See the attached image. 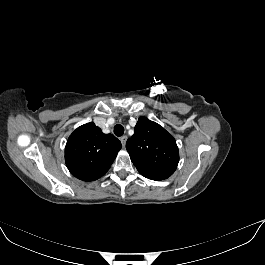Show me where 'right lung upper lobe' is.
I'll return each instance as SVG.
<instances>
[{
	"label": "right lung upper lobe",
	"mask_w": 265,
	"mask_h": 265,
	"mask_svg": "<svg viewBox=\"0 0 265 265\" xmlns=\"http://www.w3.org/2000/svg\"><path fill=\"white\" fill-rule=\"evenodd\" d=\"M112 134H104L93 122L78 127L68 138L65 162L70 173L82 181L103 176L121 149Z\"/></svg>",
	"instance_id": "right-lung-upper-lobe-1"
}]
</instances>
